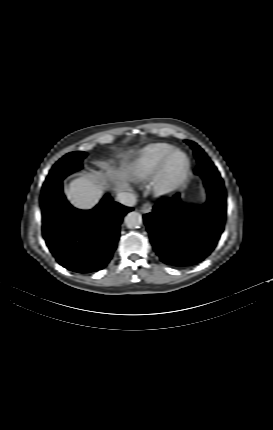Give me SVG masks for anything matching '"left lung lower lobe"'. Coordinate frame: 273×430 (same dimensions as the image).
<instances>
[{
	"label": "left lung lower lobe",
	"instance_id": "obj_1",
	"mask_svg": "<svg viewBox=\"0 0 273 430\" xmlns=\"http://www.w3.org/2000/svg\"><path fill=\"white\" fill-rule=\"evenodd\" d=\"M195 173L203 178L207 202L189 207L179 199L158 202L144 215L151 243L160 259L175 267L204 260L214 250L224 229L226 193L223 180L212 162L199 164Z\"/></svg>",
	"mask_w": 273,
	"mask_h": 430
}]
</instances>
